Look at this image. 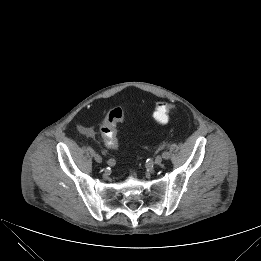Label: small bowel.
Instances as JSON below:
<instances>
[{"instance_id":"1","label":"small bowel","mask_w":261,"mask_h":261,"mask_svg":"<svg viewBox=\"0 0 261 261\" xmlns=\"http://www.w3.org/2000/svg\"><path fill=\"white\" fill-rule=\"evenodd\" d=\"M79 130L83 135H85L87 137L95 136V131L91 127L81 126Z\"/></svg>"}]
</instances>
